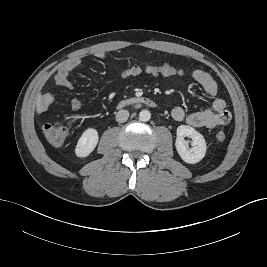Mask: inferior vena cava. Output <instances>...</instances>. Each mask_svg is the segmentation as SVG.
Returning a JSON list of instances; mask_svg holds the SVG:
<instances>
[{"label":"inferior vena cava","instance_id":"1","mask_svg":"<svg viewBox=\"0 0 267 267\" xmlns=\"http://www.w3.org/2000/svg\"><path fill=\"white\" fill-rule=\"evenodd\" d=\"M128 117L129 112L127 110H120L116 113V121L119 123L127 121Z\"/></svg>","mask_w":267,"mask_h":267}]
</instances>
